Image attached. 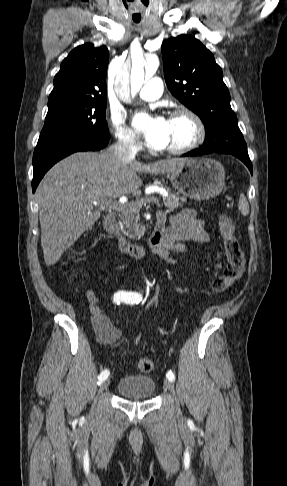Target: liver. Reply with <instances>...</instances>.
<instances>
[{"instance_id":"6515ba94","label":"liver","mask_w":287,"mask_h":486,"mask_svg":"<svg viewBox=\"0 0 287 486\" xmlns=\"http://www.w3.org/2000/svg\"><path fill=\"white\" fill-rule=\"evenodd\" d=\"M186 159L173 158L144 164L123 161L109 149L77 152L54 165L37 190L41 245L47 266L57 263L63 252L100 217L94 201L117 199L139 190L143 182L137 173L173 171Z\"/></svg>"}]
</instances>
